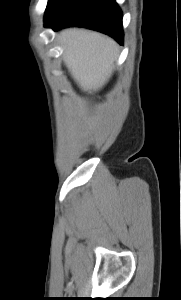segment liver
<instances>
[{
	"label": "liver",
	"instance_id": "6515ba94",
	"mask_svg": "<svg viewBox=\"0 0 181 300\" xmlns=\"http://www.w3.org/2000/svg\"><path fill=\"white\" fill-rule=\"evenodd\" d=\"M63 61L80 88L86 92L100 89L110 78L118 57V45L97 32L65 29L60 33Z\"/></svg>",
	"mask_w": 181,
	"mask_h": 300
}]
</instances>
